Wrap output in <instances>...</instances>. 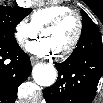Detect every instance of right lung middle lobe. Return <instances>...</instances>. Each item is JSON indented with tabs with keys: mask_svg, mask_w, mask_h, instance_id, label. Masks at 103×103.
Returning <instances> with one entry per match:
<instances>
[{
	"mask_svg": "<svg viewBox=\"0 0 103 103\" xmlns=\"http://www.w3.org/2000/svg\"><path fill=\"white\" fill-rule=\"evenodd\" d=\"M32 9L30 8H8L0 7V43L16 44L14 37V30L16 25L28 14Z\"/></svg>",
	"mask_w": 103,
	"mask_h": 103,
	"instance_id": "right-lung-middle-lobe-1",
	"label": "right lung middle lobe"
}]
</instances>
